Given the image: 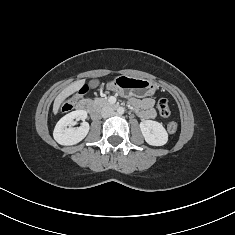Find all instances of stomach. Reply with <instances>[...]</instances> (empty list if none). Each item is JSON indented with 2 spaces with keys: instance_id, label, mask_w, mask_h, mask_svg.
<instances>
[{
  "instance_id": "obj_1",
  "label": "stomach",
  "mask_w": 235,
  "mask_h": 235,
  "mask_svg": "<svg viewBox=\"0 0 235 235\" xmlns=\"http://www.w3.org/2000/svg\"><path fill=\"white\" fill-rule=\"evenodd\" d=\"M107 88L117 92L121 96H135L144 98L152 96L158 89V85L143 78L120 75L107 84Z\"/></svg>"
}]
</instances>
